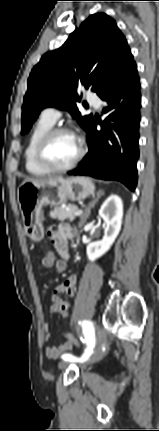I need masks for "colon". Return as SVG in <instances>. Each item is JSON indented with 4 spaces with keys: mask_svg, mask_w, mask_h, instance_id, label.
<instances>
[{
    "mask_svg": "<svg viewBox=\"0 0 159 431\" xmlns=\"http://www.w3.org/2000/svg\"><path fill=\"white\" fill-rule=\"evenodd\" d=\"M54 258H55L54 252L51 249H48L46 251V254H45V259L48 262L47 263L48 267L53 266L54 263H53L52 260ZM62 316H63L64 319H68V317L70 316V310H63ZM60 335L63 336V337L67 336V339L71 340L72 345L74 347H77L76 351L78 352L80 350L81 345H82L81 341L77 338V335L72 330H67V331L63 330V331L60 332Z\"/></svg>",
    "mask_w": 159,
    "mask_h": 431,
    "instance_id": "colon-1",
    "label": "colon"
}]
</instances>
